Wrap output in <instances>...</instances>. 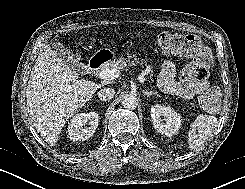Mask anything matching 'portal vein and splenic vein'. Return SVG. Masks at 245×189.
<instances>
[{"label": "portal vein and splenic vein", "instance_id": "18ae733b", "mask_svg": "<svg viewBox=\"0 0 245 189\" xmlns=\"http://www.w3.org/2000/svg\"><path fill=\"white\" fill-rule=\"evenodd\" d=\"M128 70V69H126ZM120 69H103L98 73V77L102 80H113L119 77ZM144 73L138 74V79L141 83H144Z\"/></svg>", "mask_w": 245, "mask_h": 189}]
</instances>
